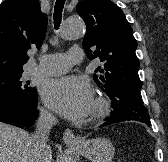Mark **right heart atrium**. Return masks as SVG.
<instances>
[{"mask_svg": "<svg viewBox=\"0 0 168 162\" xmlns=\"http://www.w3.org/2000/svg\"><path fill=\"white\" fill-rule=\"evenodd\" d=\"M41 117L45 120H51L52 119L51 114L44 109H41Z\"/></svg>", "mask_w": 168, "mask_h": 162, "instance_id": "1", "label": "right heart atrium"}]
</instances>
